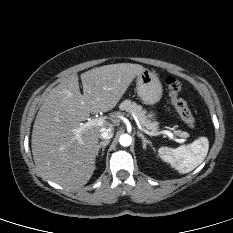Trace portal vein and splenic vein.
I'll return each mask as SVG.
<instances>
[{"instance_id":"obj_1","label":"portal vein and splenic vein","mask_w":233,"mask_h":233,"mask_svg":"<svg viewBox=\"0 0 233 233\" xmlns=\"http://www.w3.org/2000/svg\"><path fill=\"white\" fill-rule=\"evenodd\" d=\"M104 123H105V119H104L103 117L91 119V120H89V121L86 122V123H82V124L80 125V127H79L78 129L75 130L76 133H77L76 138H77L79 141H81L80 133H81L82 131H84V130H86V129H89V128L93 127V126L102 125V124H104ZM139 127L142 128L141 125H139ZM143 130H144V129H143ZM144 131H145L147 134H151V135H156V134H161V133H162V134L167 135L171 140L177 141V139H176V137L173 135V133H171L170 131H167V130H164V131H162V132H160V133L148 132L147 130H144Z\"/></svg>"}]
</instances>
